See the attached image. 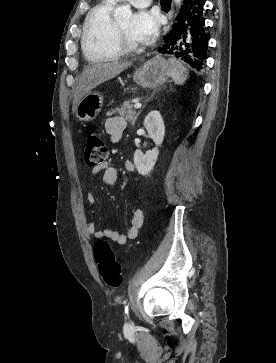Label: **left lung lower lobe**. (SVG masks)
<instances>
[{
  "label": "left lung lower lobe",
  "instance_id": "1",
  "mask_svg": "<svg viewBox=\"0 0 276 363\" xmlns=\"http://www.w3.org/2000/svg\"><path fill=\"white\" fill-rule=\"evenodd\" d=\"M203 7L204 0H184L179 21L164 37V47L159 48L162 53L171 54L197 71L203 69L208 46Z\"/></svg>",
  "mask_w": 276,
  "mask_h": 363
}]
</instances>
